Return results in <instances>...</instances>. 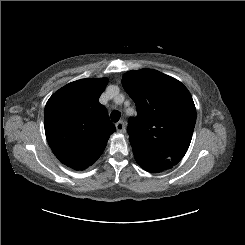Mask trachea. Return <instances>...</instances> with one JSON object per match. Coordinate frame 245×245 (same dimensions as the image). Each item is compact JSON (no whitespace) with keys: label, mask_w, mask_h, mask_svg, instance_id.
Here are the masks:
<instances>
[{"label":"trachea","mask_w":245,"mask_h":245,"mask_svg":"<svg viewBox=\"0 0 245 245\" xmlns=\"http://www.w3.org/2000/svg\"><path fill=\"white\" fill-rule=\"evenodd\" d=\"M121 114L118 111H112L111 112V120L113 122H118L120 119Z\"/></svg>","instance_id":"3493384b"}]
</instances>
